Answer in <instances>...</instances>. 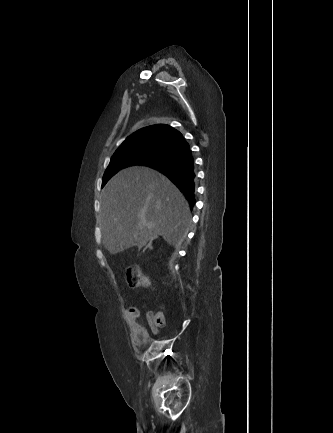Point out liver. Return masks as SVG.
<instances>
[{
  "instance_id": "obj_1",
  "label": "liver",
  "mask_w": 333,
  "mask_h": 433,
  "mask_svg": "<svg viewBox=\"0 0 333 433\" xmlns=\"http://www.w3.org/2000/svg\"><path fill=\"white\" fill-rule=\"evenodd\" d=\"M100 202L99 225L110 254L136 243L143 247L158 236L180 245L188 231V202L170 180L148 167L118 172L102 189Z\"/></svg>"
}]
</instances>
